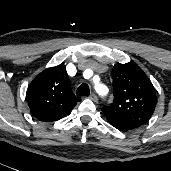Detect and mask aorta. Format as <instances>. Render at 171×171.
<instances>
[{
    "label": "aorta",
    "instance_id": "aorta-1",
    "mask_svg": "<svg viewBox=\"0 0 171 171\" xmlns=\"http://www.w3.org/2000/svg\"><path fill=\"white\" fill-rule=\"evenodd\" d=\"M103 87H104L103 85H98L97 86V90H98L99 93L102 92Z\"/></svg>",
    "mask_w": 171,
    "mask_h": 171
}]
</instances>
